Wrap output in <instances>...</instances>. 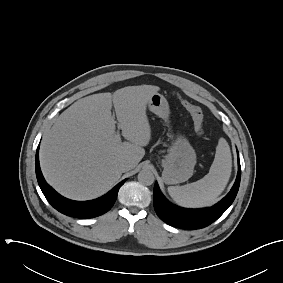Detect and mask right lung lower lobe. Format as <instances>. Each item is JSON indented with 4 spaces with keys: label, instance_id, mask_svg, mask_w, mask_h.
I'll use <instances>...</instances> for the list:
<instances>
[{
    "label": "right lung lower lobe",
    "instance_id": "98d812e1",
    "mask_svg": "<svg viewBox=\"0 0 283 283\" xmlns=\"http://www.w3.org/2000/svg\"><path fill=\"white\" fill-rule=\"evenodd\" d=\"M35 168L38 184L48 202L59 212L76 218H93L109 211L116 201L119 188L125 182V180L120 182L106 195L98 199L73 201L61 196L46 183L40 170L38 152L36 153Z\"/></svg>",
    "mask_w": 283,
    "mask_h": 283
}]
</instances>
